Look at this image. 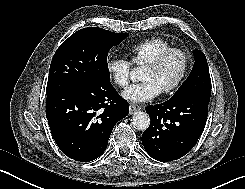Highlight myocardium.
Segmentation results:
<instances>
[{
  "label": "myocardium",
  "mask_w": 245,
  "mask_h": 189,
  "mask_svg": "<svg viewBox=\"0 0 245 189\" xmlns=\"http://www.w3.org/2000/svg\"><path fill=\"white\" fill-rule=\"evenodd\" d=\"M174 54L179 55L182 58L183 70L180 76L178 77V79L173 84L169 85L168 87L162 90V92L165 94H169L177 91L186 80L190 70L189 55L182 49L170 47L160 52L155 58H153L151 61H149L147 64L144 65V67L146 68L156 70L163 65V63L167 60V58H169L171 55Z\"/></svg>",
  "instance_id": "obj_1"
}]
</instances>
